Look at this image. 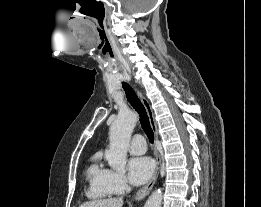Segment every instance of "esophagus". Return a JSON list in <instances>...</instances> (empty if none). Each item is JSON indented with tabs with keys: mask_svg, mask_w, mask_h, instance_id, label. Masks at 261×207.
<instances>
[{
	"mask_svg": "<svg viewBox=\"0 0 261 207\" xmlns=\"http://www.w3.org/2000/svg\"><path fill=\"white\" fill-rule=\"evenodd\" d=\"M137 92H138V95L140 97V100H141L143 106L145 107L151 128H152V130L155 134V138L157 139L158 138L157 125H156V122H155L154 113H153V110L151 108V105H150L148 99L144 96V94L141 91L138 90ZM160 167H161V159H160L159 156H157L156 171H155L154 175L152 176V178L148 181V183L137 192V194L135 196V199L137 201L144 199L150 193V191L152 190V188H153V186H154V184H155V182L158 178Z\"/></svg>",
	"mask_w": 261,
	"mask_h": 207,
	"instance_id": "obj_1",
	"label": "esophagus"
}]
</instances>
